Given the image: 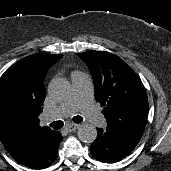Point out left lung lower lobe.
<instances>
[{
  "instance_id": "0a47b994",
  "label": "left lung lower lobe",
  "mask_w": 171,
  "mask_h": 171,
  "mask_svg": "<svg viewBox=\"0 0 171 171\" xmlns=\"http://www.w3.org/2000/svg\"><path fill=\"white\" fill-rule=\"evenodd\" d=\"M137 145L109 129L97 128V138L90 146L93 157L101 162L115 163L127 156Z\"/></svg>"
}]
</instances>
